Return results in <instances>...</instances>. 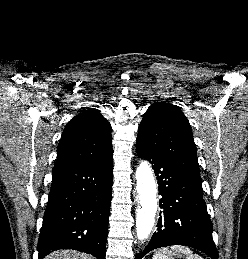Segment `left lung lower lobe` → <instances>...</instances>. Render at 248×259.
I'll return each mask as SVG.
<instances>
[{"mask_svg": "<svg viewBox=\"0 0 248 259\" xmlns=\"http://www.w3.org/2000/svg\"><path fill=\"white\" fill-rule=\"evenodd\" d=\"M139 157L152 163L158 179L160 208L157 231L151 241L135 259H141L148 252L170 245H186L218 259V252L212 239V224L203 200L202 182L188 177L183 171L164 157L136 143ZM161 214V212H160Z\"/></svg>", "mask_w": 248, "mask_h": 259, "instance_id": "left-lung-lower-lobe-1", "label": "left lung lower lobe"}]
</instances>
